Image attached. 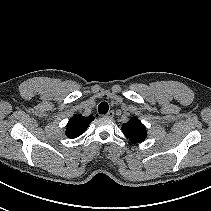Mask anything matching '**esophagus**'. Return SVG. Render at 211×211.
Wrapping results in <instances>:
<instances>
[{
	"instance_id": "esophagus-1",
	"label": "esophagus",
	"mask_w": 211,
	"mask_h": 211,
	"mask_svg": "<svg viewBox=\"0 0 211 211\" xmlns=\"http://www.w3.org/2000/svg\"><path fill=\"white\" fill-rule=\"evenodd\" d=\"M104 117H106V118H113L114 117V111H109Z\"/></svg>"
}]
</instances>
